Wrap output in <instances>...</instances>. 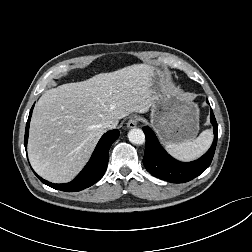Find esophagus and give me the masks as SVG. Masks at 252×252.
<instances>
[{"instance_id": "1", "label": "esophagus", "mask_w": 252, "mask_h": 252, "mask_svg": "<svg viewBox=\"0 0 252 252\" xmlns=\"http://www.w3.org/2000/svg\"><path fill=\"white\" fill-rule=\"evenodd\" d=\"M138 124V119L136 117H132L129 119L128 123H127V127L129 129L135 128Z\"/></svg>"}]
</instances>
